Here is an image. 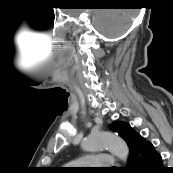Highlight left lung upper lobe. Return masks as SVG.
<instances>
[{
	"mask_svg": "<svg viewBox=\"0 0 173 173\" xmlns=\"http://www.w3.org/2000/svg\"><path fill=\"white\" fill-rule=\"evenodd\" d=\"M111 129L117 132L127 143L129 149L131 147L133 138L137 134L133 128L124 122H114L110 125Z\"/></svg>",
	"mask_w": 173,
	"mask_h": 173,
	"instance_id": "1",
	"label": "left lung upper lobe"
}]
</instances>
